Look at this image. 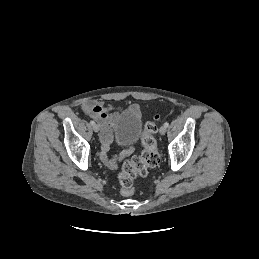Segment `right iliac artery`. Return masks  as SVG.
I'll use <instances>...</instances> for the list:
<instances>
[{
    "instance_id": "obj_1",
    "label": "right iliac artery",
    "mask_w": 259,
    "mask_h": 259,
    "mask_svg": "<svg viewBox=\"0 0 259 259\" xmlns=\"http://www.w3.org/2000/svg\"><path fill=\"white\" fill-rule=\"evenodd\" d=\"M90 124L93 126V125H95V122L94 121H90Z\"/></svg>"
}]
</instances>
